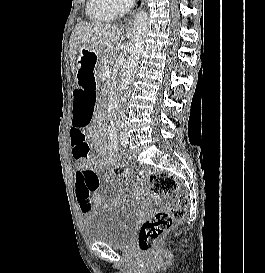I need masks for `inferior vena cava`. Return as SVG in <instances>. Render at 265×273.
<instances>
[{
    "label": "inferior vena cava",
    "instance_id": "obj_1",
    "mask_svg": "<svg viewBox=\"0 0 265 273\" xmlns=\"http://www.w3.org/2000/svg\"><path fill=\"white\" fill-rule=\"evenodd\" d=\"M127 2L130 4V3H131V0H128Z\"/></svg>",
    "mask_w": 265,
    "mask_h": 273
}]
</instances>
